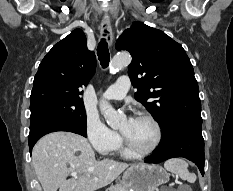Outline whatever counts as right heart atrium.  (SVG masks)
Listing matches in <instances>:
<instances>
[{
    "label": "right heart atrium",
    "mask_w": 233,
    "mask_h": 191,
    "mask_svg": "<svg viewBox=\"0 0 233 191\" xmlns=\"http://www.w3.org/2000/svg\"><path fill=\"white\" fill-rule=\"evenodd\" d=\"M86 133L92 147L102 155L112 153L121 143L119 134L109 129L94 116L87 117Z\"/></svg>",
    "instance_id": "right-heart-atrium-1"
}]
</instances>
